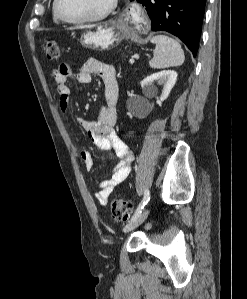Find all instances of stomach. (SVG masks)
<instances>
[{"label": "stomach", "mask_w": 247, "mask_h": 299, "mask_svg": "<svg viewBox=\"0 0 247 299\" xmlns=\"http://www.w3.org/2000/svg\"><path fill=\"white\" fill-rule=\"evenodd\" d=\"M125 37L120 22L97 24L88 29L80 38L83 47L95 50H109L116 47Z\"/></svg>", "instance_id": "1"}]
</instances>
